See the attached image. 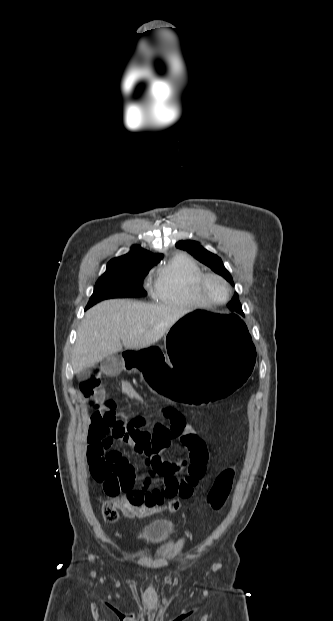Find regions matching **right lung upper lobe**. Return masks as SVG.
Instances as JSON below:
<instances>
[{"mask_svg":"<svg viewBox=\"0 0 333 621\" xmlns=\"http://www.w3.org/2000/svg\"><path fill=\"white\" fill-rule=\"evenodd\" d=\"M163 258V254H153L138 245L131 247L129 253L112 259L109 263H132L154 266Z\"/></svg>","mask_w":333,"mask_h":621,"instance_id":"1","label":"right lung upper lobe"}]
</instances>
